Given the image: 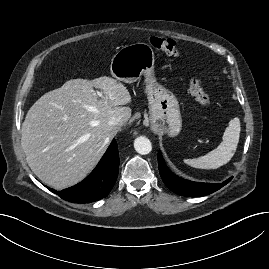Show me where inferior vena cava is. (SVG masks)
Instances as JSON below:
<instances>
[{
    "instance_id": "inferior-vena-cava-1",
    "label": "inferior vena cava",
    "mask_w": 269,
    "mask_h": 269,
    "mask_svg": "<svg viewBox=\"0 0 269 269\" xmlns=\"http://www.w3.org/2000/svg\"><path fill=\"white\" fill-rule=\"evenodd\" d=\"M122 124V119L121 117H116L113 116L112 118H110V120L108 121V125L111 127H118Z\"/></svg>"
}]
</instances>
